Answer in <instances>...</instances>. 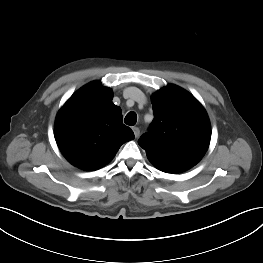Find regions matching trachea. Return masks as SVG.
<instances>
[{
    "instance_id": "trachea-1",
    "label": "trachea",
    "mask_w": 263,
    "mask_h": 263,
    "mask_svg": "<svg viewBox=\"0 0 263 263\" xmlns=\"http://www.w3.org/2000/svg\"><path fill=\"white\" fill-rule=\"evenodd\" d=\"M125 124L129 125V126H134L137 122V115L135 112H129L125 119H124Z\"/></svg>"
}]
</instances>
